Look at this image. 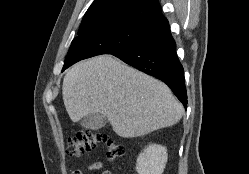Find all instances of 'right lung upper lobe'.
Returning <instances> with one entry per match:
<instances>
[{
  "label": "right lung upper lobe",
  "mask_w": 249,
  "mask_h": 174,
  "mask_svg": "<svg viewBox=\"0 0 249 174\" xmlns=\"http://www.w3.org/2000/svg\"><path fill=\"white\" fill-rule=\"evenodd\" d=\"M163 20L158 0H95L85 13L79 31L118 23L150 26Z\"/></svg>",
  "instance_id": "1"
}]
</instances>
